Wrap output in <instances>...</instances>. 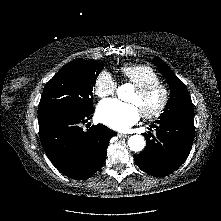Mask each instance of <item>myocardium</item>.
I'll list each match as a JSON object with an SVG mask.
<instances>
[{"label":"myocardium","instance_id":"1","mask_svg":"<svg viewBox=\"0 0 221 221\" xmlns=\"http://www.w3.org/2000/svg\"><path fill=\"white\" fill-rule=\"evenodd\" d=\"M158 91L160 93V101L153 109H141L143 117L154 119L159 117L166 109L170 98L168 87L161 81L152 82L141 87H136L135 92L139 98L145 99L152 93Z\"/></svg>","mask_w":221,"mask_h":221}]
</instances>
